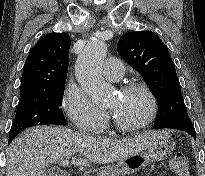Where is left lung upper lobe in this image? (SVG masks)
Segmentation results:
<instances>
[{
  "label": "left lung upper lobe",
  "mask_w": 205,
  "mask_h": 176,
  "mask_svg": "<svg viewBox=\"0 0 205 176\" xmlns=\"http://www.w3.org/2000/svg\"><path fill=\"white\" fill-rule=\"evenodd\" d=\"M118 53L137 70L158 99L155 128L191 121L168 48L151 31L129 32L119 39Z\"/></svg>",
  "instance_id": "1"
}]
</instances>
